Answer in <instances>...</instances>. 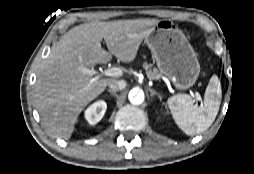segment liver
Returning <instances> with one entry per match:
<instances>
[{
	"mask_svg": "<svg viewBox=\"0 0 254 174\" xmlns=\"http://www.w3.org/2000/svg\"><path fill=\"white\" fill-rule=\"evenodd\" d=\"M160 20L132 19L90 22L70 29L43 61L35 84V104L53 135L69 139L78 116L116 78L85 74L112 55L130 63L140 44ZM105 40L108 52L101 46ZM97 79L92 85L89 83Z\"/></svg>",
	"mask_w": 254,
	"mask_h": 174,
	"instance_id": "1",
	"label": "liver"
}]
</instances>
